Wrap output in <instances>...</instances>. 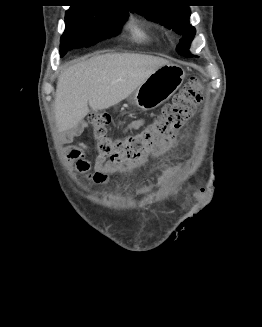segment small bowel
Segmentation results:
<instances>
[{"instance_id":"obj_1","label":"small bowel","mask_w":262,"mask_h":327,"mask_svg":"<svg viewBox=\"0 0 262 327\" xmlns=\"http://www.w3.org/2000/svg\"><path fill=\"white\" fill-rule=\"evenodd\" d=\"M145 124V119L140 118L131 121L124 129V133L139 129ZM82 125H76L72 130H70L66 136L65 140L67 142L71 141L73 136L80 133L82 130ZM175 143V137H171L155 146H153L145 155L141 158L129 161L121 165H114L107 161L102 156H97L94 162V171L89 172L91 168V163L88 159L84 158L83 147L72 146L67 147L65 150V158L70 163L75 165L76 170L82 174L85 178L90 180L95 184H108L110 174H127L136 169H147L151 161L159 159L162 155L167 153L172 149ZM177 172L176 167L169 168L165 171L160 179L161 184L169 183ZM194 194L198 195L200 198L206 195V188H196L192 191Z\"/></svg>"}]
</instances>
